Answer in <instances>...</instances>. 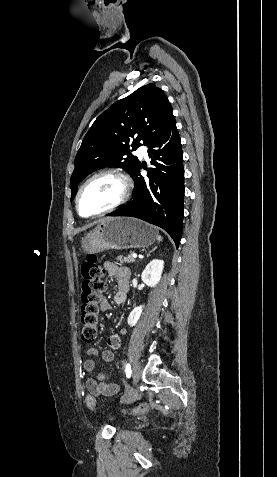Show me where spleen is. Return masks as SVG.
Returning a JSON list of instances; mask_svg holds the SVG:
<instances>
[{
    "label": "spleen",
    "instance_id": "3e777b00",
    "mask_svg": "<svg viewBox=\"0 0 277 477\" xmlns=\"http://www.w3.org/2000/svg\"><path fill=\"white\" fill-rule=\"evenodd\" d=\"M158 240L161 241V240H162V237H161V236H158Z\"/></svg>",
    "mask_w": 277,
    "mask_h": 477
}]
</instances>
